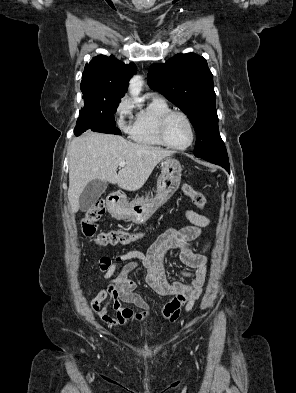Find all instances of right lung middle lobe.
Returning <instances> with one entry per match:
<instances>
[{
  "instance_id": "dd1d6c3e",
  "label": "right lung middle lobe",
  "mask_w": 296,
  "mask_h": 393,
  "mask_svg": "<svg viewBox=\"0 0 296 393\" xmlns=\"http://www.w3.org/2000/svg\"><path fill=\"white\" fill-rule=\"evenodd\" d=\"M121 97L109 99H84V108L79 112L77 122L92 121L109 127H115L114 114Z\"/></svg>"
}]
</instances>
